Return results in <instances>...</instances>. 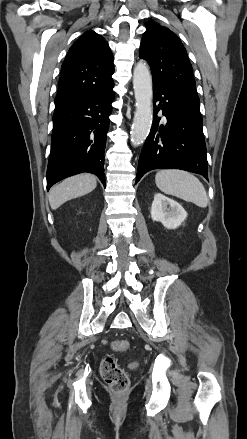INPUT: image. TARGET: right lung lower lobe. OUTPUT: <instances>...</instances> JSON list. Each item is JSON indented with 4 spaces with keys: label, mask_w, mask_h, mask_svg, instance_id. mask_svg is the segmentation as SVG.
<instances>
[{
    "label": "right lung lower lobe",
    "mask_w": 247,
    "mask_h": 439,
    "mask_svg": "<svg viewBox=\"0 0 247 439\" xmlns=\"http://www.w3.org/2000/svg\"><path fill=\"white\" fill-rule=\"evenodd\" d=\"M112 88L55 109L46 175L48 190L56 182L82 172L97 175L106 186L104 149L114 99Z\"/></svg>",
    "instance_id": "98d812e1"
}]
</instances>
